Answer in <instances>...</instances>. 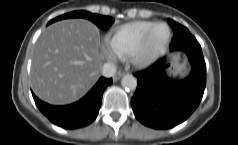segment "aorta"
<instances>
[{
    "instance_id": "obj_1",
    "label": "aorta",
    "mask_w": 238,
    "mask_h": 145,
    "mask_svg": "<svg viewBox=\"0 0 238 145\" xmlns=\"http://www.w3.org/2000/svg\"><path fill=\"white\" fill-rule=\"evenodd\" d=\"M121 85L123 88L133 91L137 87V80L134 76L127 74L121 79Z\"/></svg>"
}]
</instances>
